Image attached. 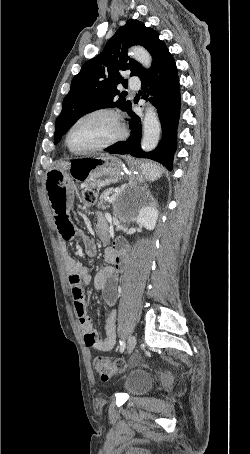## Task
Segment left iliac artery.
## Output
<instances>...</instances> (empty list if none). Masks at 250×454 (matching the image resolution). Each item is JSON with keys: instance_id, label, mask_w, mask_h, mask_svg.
I'll list each match as a JSON object with an SVG mask.
<instances>
[{"instance_id": "obj_1", "label": "left iliac artery", "mask_w": 250, "mask_h": 454, "mask_svg": "<svg viewBox=\"0 0 250 454\" xmlns=\"http://www.w3.org/2000/svg\"><path fill=\"white\" fill-rule=\"evenodd\" d=\"M119 344H120V351H121V352L124 351V349H125V342H124L123 340H120V341H119Z\"/></svg>"}]
</instances>
